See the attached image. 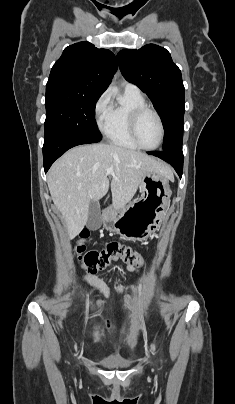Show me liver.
<instances>
[{
  "label": "liver",
  "instance_id": "1",
  "mask_svg": "<svg viewBox=\"0 0 235 404\" xmlns=\"http://www.w3.org/2000/svg\"><path fill=\"white\" fill-rule=\"evenodd\" d=\"M107 168H112L114 174H107ZM149 172L173 179L168 165L142 152L104 143L77 146L67 151L50 168L48 187L70 238L84 228L90 203L104 197L109 185L113 207L119 210L131 201L143 176Z\"/></svg>",
  "mask_w": 235,
  "mask_h": 404
}]
</instances>
